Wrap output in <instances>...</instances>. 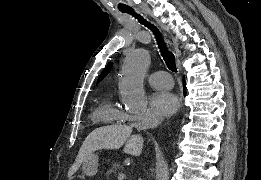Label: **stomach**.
<instances>
[{
	"label": "stomach",
	"instance_id": "stomach-1",
	"mask_svg": "<svg viewBox=\"0 0 261 180\" xmlns=\"http://www.w3.org/2000/svg\"><path fill=\"white\" fill-rule=\"evenodd\" d=\"M98 156L96 154L89 155L82 164L83 173L87 176H94L98 169Z\"/></svg>",
	"mask_w": 261,
	"mask_h": 180
}]
</instances>
